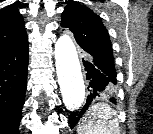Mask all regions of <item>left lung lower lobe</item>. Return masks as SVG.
I'll return each mask as SVG.
<instances>
[{
    "instance_id": "1",
    "label": "left lung lower lobe",
    "mask_w": 153,
    "mask_h": 134,
    "mask_svg": "<svg viewBox=\"0 0 153 134\" xmlns=\"http://www.w3.org/2000/svg\"><path fill=\"white\" fill-rule=\"evenodd\" d=\"M83 65L87 72L86 79L89 82V95L84 107L70 114L69 123L71 128L76 125L95 98L100 97L101 94L113 95L114 93L109 92V87L114 82H117L115 68L108 66L101 60L90 57L88 60L83 59ZM111 100L116 103L114 97H112Z\"/></svg>"
}]
</instances>
